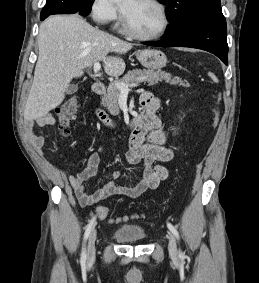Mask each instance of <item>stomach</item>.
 <instances>
[{
	"label": "stomach",
	"mask_w": 259,
	"mask_h": 283,
	"mask_svg": "<svg viewBox=\"0 0 259 283\" xmlns=\"http://www.w3.org/2000/svg\"><path fill=\"white\" fill-rule=\"evenodd\" d=\"M136 57L144 67L151 70H159L167 63L166 55L158 49L139 50Z\"/></svg>",
	"instance_id": "1"
}]
</instances>
